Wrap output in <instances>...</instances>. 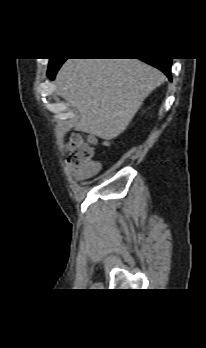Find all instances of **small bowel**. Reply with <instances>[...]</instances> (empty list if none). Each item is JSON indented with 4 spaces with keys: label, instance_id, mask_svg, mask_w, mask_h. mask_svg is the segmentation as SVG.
<instances>
[{
    "label": "small bowel",
    "instance_id": "1",
    "mask_svg": "<svg viewBox=\"0 0 206 348\" xmlns=\"http://www.w3.org/2000/svg\"><path fill=\"white\" fill-rule=\"evenodd\" d=\"M103 169V165L99 161H91L80 167H69V172L77 181H85L99 175Z\"/></svg>",
    "mask_w": 206,
    "mask_h": 348
}]
</instances>
